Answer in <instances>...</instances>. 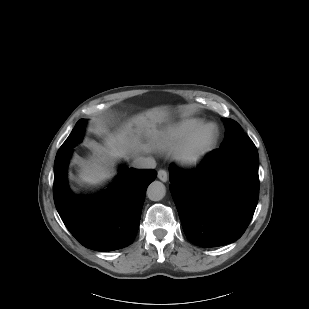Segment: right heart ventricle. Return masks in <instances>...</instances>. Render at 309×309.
<instances>
[{
  "instance_id": "obj_1",
  "label": "right heart ventricle",
  "mask_w": 309,
  "mask_h": 309,
  "mask_svg": "<svg viewBox=\"0 0 309 309\" xmlns=\"http://www.w3.org/2000/svg\"><path fill=\"white\" fill-rule=\"evenodd\" d=\"M201 124L199 119H189L161 131L155 138V147L163 152H172Z\"/></svg>"
}]
</instances>
